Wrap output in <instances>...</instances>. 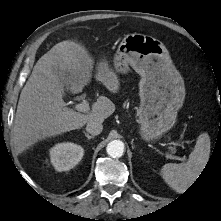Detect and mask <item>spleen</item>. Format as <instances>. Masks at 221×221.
<instances>
[{"mask_svg": "<svg viewBox=\"0 0 221 221\" xmlns=\"http://www.w3.org/2000/svg\"><path fill=\"white\" fill-rule=\"evenodd\" d=\"M210 156V137L203 132L199 135L194 150L185 163L165 164L161 174L165 182L176 192H184L200 175Z\"/></svg>", "mask_w": 221, "mask_h": 221, "instance_id": "obj_1", "label": "spleen"}]
</instances>
